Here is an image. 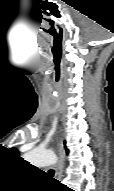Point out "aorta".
<instances>
[{
  "label": "aorta",
  "mask_w": 114,
  "mask_h": 191,
  "mask_svg": "<svg viewBox=\"0 0 114 191\" xmlns=\"http://www.w3.org/2000/svg\"><path fill=\"white\" fill-rule=\"evenodd\" d=\"M24 157L37 167L48 166L57 162V156L49 150L34 149L26 153Z\"/></svg>",
  "instance_id": "762f6f07"
}]
</instances>
